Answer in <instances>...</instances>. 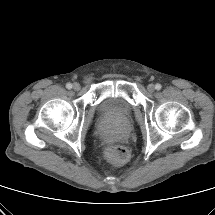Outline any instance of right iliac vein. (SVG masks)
<instances>
[{
	"mask_svg": "<svg viewBox=\"0 0 215 215\" xmlns=\"http://www.w3.org/2000/svg\"><path fill=\"white\" fill-rule=\"evenodd\" d=\"M80 88H81V86H80L79 83H74V84H73V89H74L75 91L80 90Z\"/></svg>",
	"mask_w": 215,
	"mask_h": 215,
	"instance_id": "right-iliac-vein-1",
	"label": "right iliac vein"
}]
</instances>
